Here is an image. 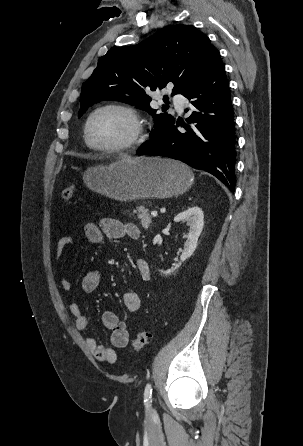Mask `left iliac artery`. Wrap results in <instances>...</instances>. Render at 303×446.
<instances>
[{"label":"left iliac artery","instance_id":"obj_1","mask_svg":"<svg viewBox=\"0 0 303 446\" xmlns=\"http://www.w3.org/2000/svg\"><path fill=\"white\" fill-rule=\"evenodd\" d=\"M152 402V387L151 384H147L144 391V403L146 407H150Z\"/></svg>","mask_w":303,"mask_h":446}]
</instances>
